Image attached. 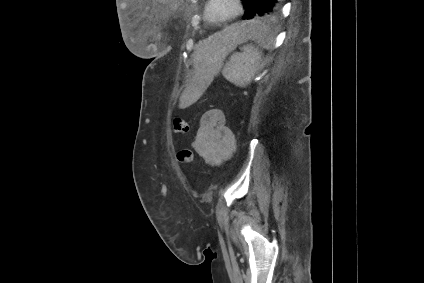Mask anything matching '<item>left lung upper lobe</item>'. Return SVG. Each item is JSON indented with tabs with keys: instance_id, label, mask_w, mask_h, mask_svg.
<instances>
[{
	"instance_id": "obj_1",
	"label": "left lung upper lobe",
	"mask_w": 424,
	"mask_h": 283,
	"mask_svg": "<svg viewBox=\"0 0 424 283\" xmlns=\"http://www.w3.org/2000/svg\"><path fill=\"white\" fill-rule=\"evenodd\" d=\"M259 1L260 0H242L244 7H245V14L243 16V19L259 18V17H255V13H256L257 7L259 5V3H258ZM278 11H279V8L271 14H267V15L260 16V17L273 18L274 16L277 15Z\"/></svg>"
}]
</instances>
